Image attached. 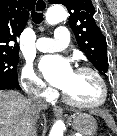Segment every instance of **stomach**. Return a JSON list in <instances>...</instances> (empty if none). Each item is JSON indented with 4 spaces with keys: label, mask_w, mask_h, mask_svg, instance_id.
I'll return each instance as SVG.
<instances>
[{
    "label": "stomach",
    "mask_w": 117,
    "mask_h": 136,
    "mask_svg": "<svg viewBox=\"0 0 117 136\" xmlns=\"http://www.w3.org/2000/svg\"><path fill=\"white\" fill-rule=\"evenodd\" d=\"M72 127L75 131L81 133L84 136L95 133L97 129V123L95 119L86 113H78L72 116Z\"/></svg>",
    "instance_id": "obj_1"
}]
</instances>
